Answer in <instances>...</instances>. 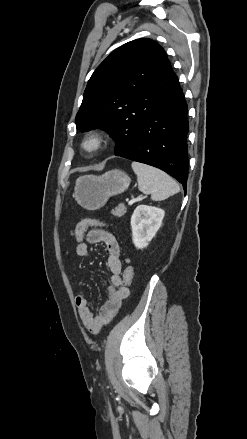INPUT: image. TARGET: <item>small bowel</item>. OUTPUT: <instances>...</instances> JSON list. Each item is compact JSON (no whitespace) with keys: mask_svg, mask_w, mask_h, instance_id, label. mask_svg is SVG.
<instances>
[{"mask_svg":"<svg viewBox=\"0 0 247 439\" xmlns=\"http://www.w3.org/2000/svg\"><path fill=\"white\" fill-rule=\"evenodd\" d=\"M103 243L106 246L107 266L111 273L108 287V300L100 307L99 311L92 312V304L84 295H77L75 304L82 323L93 334L101 331L118 313L122 301L128 296L129 291L122 283V262L120 259V246L116 237L102 229H91L86 233L84 242L76 247L78 256H89V245Z\"/></svg>","mask_w":247,"mask_h":439,"instance_id":"small-bowel-1","label":"small bowel"}]
</instances>
